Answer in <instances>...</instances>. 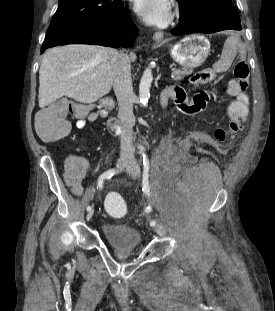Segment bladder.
<instances>
[{
	"instance_id": "31cf9c89",
	"label": "bladder",
	"mask_w": 275,
	"mask_h": 311,
	"mask_svg": "<svg viewBox=\"0 0 275 311\" xmlns=\"http://www.w3.org/2000/svg\"><path fill=\"white\" fill-rule=\"evenodd\" d=\"M101 229L109 245L117 249H132L141 239L138 229L125 222L104 223Z\"/></svg>"
}]
</instances>
